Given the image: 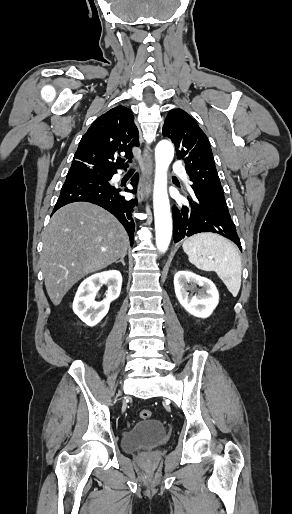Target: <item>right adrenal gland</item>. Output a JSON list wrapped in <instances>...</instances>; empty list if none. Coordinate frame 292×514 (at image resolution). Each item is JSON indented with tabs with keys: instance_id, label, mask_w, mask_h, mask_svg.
<instances>
[{
	"instance_id": "right-adrenal-gland-1",
	"label": "right adrenal gland",
	"mask_w": 292,
	"mask_h": 514,
	"mask_svg": "<svg viewBox=\"0 0 292 514\" xmlns=\"http://www.w3.org/2000/svg\"><path fill=\"white\" fill-rule=\"evenodd\" d=\"M124 258H125V256H122L121 260H119V262H121L122 266H126V264L124 262ZM119 262H115V264H119Z\"/></svg>"
}]
</instances>
